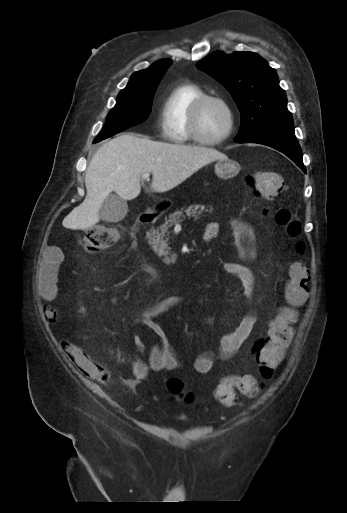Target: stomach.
<instances>
[{
	"label": "stomach",
	"mask_w": 347,
	"mask_h": 513,
	"mask_svg": "<svg viewBox=\"0 0 347 513\" xmlns=\"http://www.w3.org/2000/svg\"><path fill=\"white\" fill-rule=\"evenodd\" d=\"M216 175L222 179L234 177L240 171V165L235 160L225 159L218 160L214 166Z\"/></svg>",
	"instance_id": "stomach-1"
}]
</instances>
